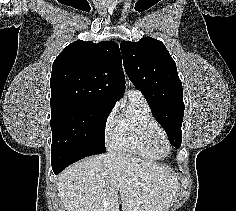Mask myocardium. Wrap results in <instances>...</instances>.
<instances>
[{
	"label": "myocardium",
	"instance_id": "1",
	"mask_svg": "<svg viewBox=\"0 0 236 211\" xmlns=\"http://www.w3.org/2000/svg\"><path fill=\"white\" fill-rule=\"evenodd\" d=\"M159 139H162L166 143V151L158 149L157 142ZM144 144L146 145L149 151H151L159 158H165L169 156L172 151L171 141L166 132L161 128L150 130L145 137Z\"/></svg>",
	"mask_w": 236,
	"mask_h": 211
}]
</instances>
